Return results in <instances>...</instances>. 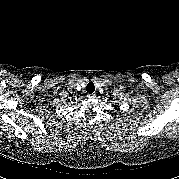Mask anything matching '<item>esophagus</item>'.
I'll use <instances>...</instances> for the list:
<instances>
[{
  "label": "esophagus",
  "mask_w": 179,
  "mask_h": 179,
  "mask_svg": "<svg viewBox=\"0 0 179 179\" xmlns=\"http://www.w3.org/2000/svg\"><path fill=\"white\" fill-rule=\"evenodd\" d=\"M88 97H89V98H95V97H96V94H88Z\"/></svg>",
  "instance_id": "1"
}]
</instances>
